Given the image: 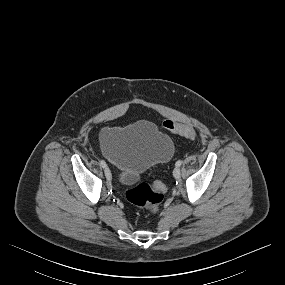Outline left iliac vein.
I'll return each mask as SVG.
<instances>
[{"mask_svg": "<svg viewBox=\"0 0 285 285\" xmlns=\"http://www.w3.org/2000/svg\"><path fill=\"white\" fill-rule=\"evenodd\" d=\"M180 175H181V172H180V169L178 167L174 168L173 170V176L178 179L180 178Z\"/></svg>", "mask_w": 285, "mask_h": 285, "instance_id": "obj_1", "label": "left iliac vein"}]
</instances>
